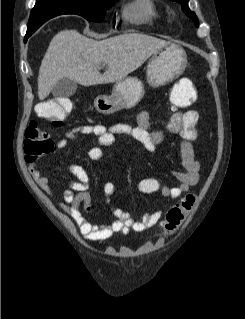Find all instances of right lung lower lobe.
I'll return each mask as SVG.
<instances>
[{
  "label": "right lung lower lobe",
  "mask_w": 245,
  "mask_h": 319,
  "mask_svg": "<svg viewBox=\"0 0 245 319\" xmlns=\"http://www.w3.org/2000/svg\"><path fill=\"white\" fill-rule=\"evenodd\" d=\"M30 35H31V34L27 32V34H26V40H27V38H28Z\"/></svg>",
  "instance_id": "right-lung-lower-lobe-1"
}]
</instances>
